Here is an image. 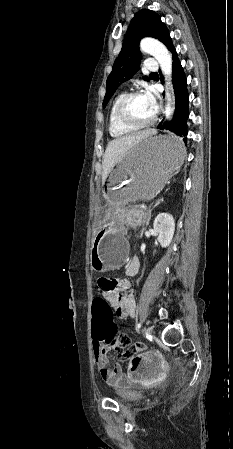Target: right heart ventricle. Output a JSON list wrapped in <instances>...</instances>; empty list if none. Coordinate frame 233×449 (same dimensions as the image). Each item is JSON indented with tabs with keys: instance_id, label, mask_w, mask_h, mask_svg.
Segmentation results:
<instances>
[{
	"instance_id": "e07e8e85",
	"label": "right heart ventricle",
	"mask_w": 233,
	"mask_h": 449,
	"mask_svg": "<svg viewBox=\"0 0 233 449\" xmlns=\"http://www.w3.org/2000/svg\"><path fill=\"white\" fill-rule=\"evenodd\" d=\"M125 94L124 91H120L113 99L108 114V130L113 138H121L133 133L136 129H132L122 125L116 118V105L120 98Z\"/></svg>"
}]
</instances>
